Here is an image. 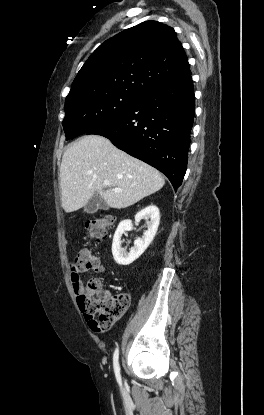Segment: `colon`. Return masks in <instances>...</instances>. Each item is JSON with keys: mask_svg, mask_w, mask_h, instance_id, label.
<instances>
[{"mask_svg": "<svg viewBox=\"0 0 264 415\" xmlns=\"http://www.w3.org/2000/svg\"><path fill=\"white\" fill-rule=\"evenodd\" d=\"M111 220L95 219L85 224L86 237L95 241L104 239ZM97 259L91 250H82L70 263V269H95ZM78 304L88 318L93 329H108L118 318L124 315L130 305V296L126 292L110 293L103 286V276L90 278L81 288Z\"/></svg>", "mask_w": 264, "mask_h": 415, "instance_id": "1", "label": "colon"}]
</instances>
